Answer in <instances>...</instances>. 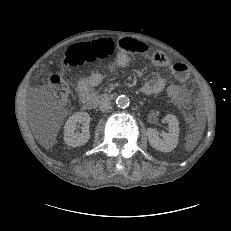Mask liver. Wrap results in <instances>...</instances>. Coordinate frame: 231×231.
<instances>
[{"label":"liver","mask_w":231,"mask_h":231,"mask_svg":"<svg viewBox=\"0 0 231 231\" xmlns=\"http://www.w3.org/2000/svg\"><path fill=\"white\" fill-rule=\"evenodd\" d=\"M57 130H58V126L55 128V132H57ZM55 135H56V134H54L52 137H50V139L41 140V144H42L45 148H49L50 146L53 145V141H54Z\"/></svg>","instance_id":"1"}]
</instances>
